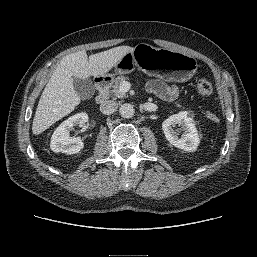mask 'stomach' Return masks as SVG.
Wrapping results in <instances>:
<instances>
[{
    "mask_svg": "<svg viewBox=\"0 0 257 257\" xmlns=\"http://www.w3.org/2000/svg\"><path fill=\"white\" fill-rule=\"evenodd\" d=\"M197 67V60L188 54L140 43L121 58L115 73L127 74L137 68L149 76L184 82L195 74Z\"/></svg>",
    "mask_w": 257,
    "mask_h": 257,
    "instance_id": "0dacf381",
    "label": "stomach"
}]
</instances>
